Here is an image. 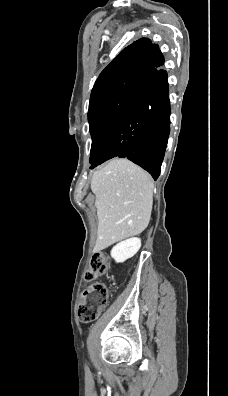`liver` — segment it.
<instances>
[{
	"label": "liver",
	"instance_id": "liver-1",
	"mask_svg": "<svg viewBox=\"0 0 228 396\" xmlns=\"http://www.w3.org/2000/svg\"><path fill=\"white\" fill-rule=\"evenodd\" d=\"M154 184L127 159H113L93 174L91 190L98 216L94 251L143 232L150 221Z\"/></svg>",
	"mask_w": 228,
	"mask_h": 396
}]
</instances>
